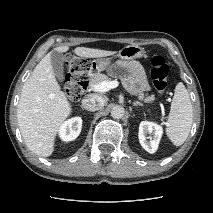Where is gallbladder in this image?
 <instances>
[{
  "instance_id": "bac80fb5",
  "label": "gallbladder",
  "mask_w": 213,
  "mask_h": 213,
  "mask_svg": "<svg viewBox=\"0 0 213 213\" xmlns=\"http://www.w3.org/2000/svg\"><path fill=\"white\" fill-rule=\"evenodd\" d=\"M50 59L55 76L62 81L64 79L63 54L53 50L50 52Z\"/></svg>"
}]
</instances>
